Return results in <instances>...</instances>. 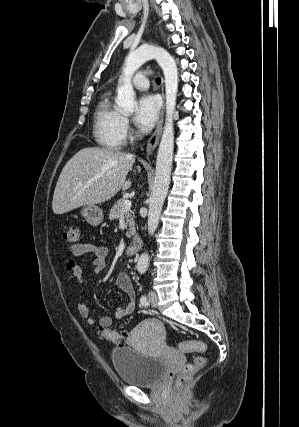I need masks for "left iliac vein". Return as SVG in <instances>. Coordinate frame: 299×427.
Listing matches in <instances>:
<instances>
[{
  "label": "left iliac vein",
  "mask_w": 299,
  "mask_h": 427,
  "mask_svg": "<svg viewBox=\"0 0 299 427\" xmlns=\"http://www.w3.org/2000/svg\"><path fill=\"white\" fill-rule=\"evenodd\" d=\"M148 298H149L150 304L153 307H157V305H158V297H157V294L153 290L149 291Z\"/></svg>",
  "instance_id": "obj_1"
}]
</instances>
